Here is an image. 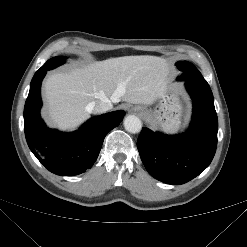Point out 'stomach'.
I'll use <instances>...</instances> for the list:
<instances>
[{"label":"stomach","instance_id":"stomach-1","mask_svg":"<svg viewBox=\"0 0 247 247\" xmlns=\"http://www.w3.org/2000/svg\"><path fill=\"white\" fill-rule=\"evenodd\" d=\"M181 105L175 94H164L158 109L145 110V115L166 132H176L180 126Z\"/></svg>","mask_w":247,"mask_h":247}]
</instances>
